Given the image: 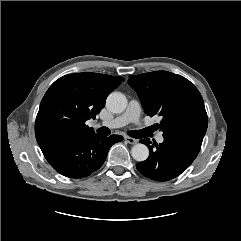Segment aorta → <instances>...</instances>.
Listing matches in <instances>:
<instances>
[{
	"label": "aorta",
	"instance_id": "762f6f07",
	"mask_svg": "<svg viewBox=\"0 0 241 241\" xmlns=\"http://www.w3.org/2000/svg\"><path fill=\"white\" fill-rule=\"evenodd\" d=\"M107 107L114 113H121L127 107V99L120 92L111 93L106 100ZM132 157L138 161H145L149 156V149L146 145L138 143L131 149Z\"/></svg>",
	"mask_w": 241,
	"mask_h": 241
}]
</instances>
